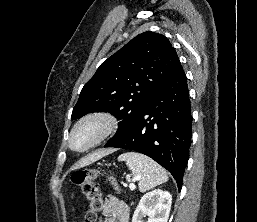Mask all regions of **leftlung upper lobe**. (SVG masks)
Here are the masks:
<instances>
[{"label":"left lung upper lobe","mask_w":257,"mask_h":222,"mask_svg":"<svg viewBox=\"0 0 257 222\" xmlns=\"http://www.w3.org/2000/svg\"><path fill=\"white\" fill-rule=\"evenodd\" d=\"M180 66L175 49L164 35L141 33L99 66L84 85L71 118L110 112L121 120L112 140L137 118Z\"/></svg>","instance_id":"left-lung-upper-lobe-1"}]
</instances>
